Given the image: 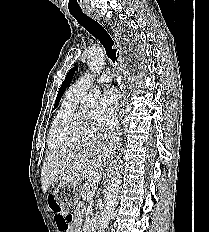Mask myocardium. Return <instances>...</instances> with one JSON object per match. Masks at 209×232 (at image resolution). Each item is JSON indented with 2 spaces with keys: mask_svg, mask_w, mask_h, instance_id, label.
Segmentation results:
<instances>
[{
  "mask_svg": "<svg viewBox=\"0 0 209 232\" xmlns=\"http://www.w3.org/2000/svg\"><path fill=\"white\" fill-rule=\"evenodd\" d=\"M67 130L75 136L90 137L96 133L97 127L95 120L87 118L82 111L78 110L70 119Z\"/></svg>",
  "mask_w": 209,
  "mask_h": 232,
  "instance_id": "1",
  "label": "myocardium"
}]
</instances>
